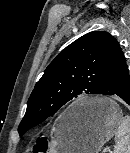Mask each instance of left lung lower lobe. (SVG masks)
Here are the masks:
<instances>
[{"label":"left lung lower lobe","mask_w":130,"mask_h":153,"mask_svg":"<svg viewBox=\"0 0 130 153\" xmlns=\"http://www.w3.org/2000/svg\"><path fill=\"white\" fill-rule=\"evenodd\" d=\"M99 94L120 97L130 105L129 70L121 49L105 75ZM85 110L80 109L76 113L81 114Z\"/></svg>","instance_id":"left-lung-lower-lobe-1"}]
</instances>
